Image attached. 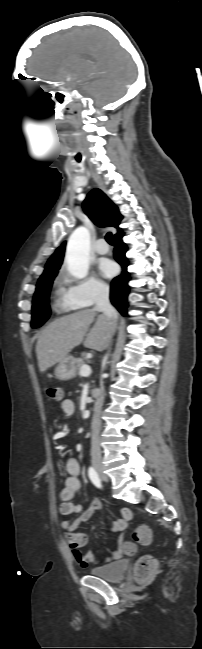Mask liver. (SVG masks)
<instances>
[{"label": "liver", "instance_id": "liver-1", "mask_svg": "<svg viewBox=\"0 0 202 649\" xmlns=\"http://www.w3.org/2000/svg\"><path fill=\"white\" fill-rule=\"evenodd\" d=\"M96 315L95 309L78 311L54 320L40 332L36 345L40 372H45L62 361L73 348L82 343ZM113 329V319L104 314L98 315L95 325L87 334L84 346L97 351L107 349Z\"/></svg>", "mask_w": 202, "mask_h": 649}]
</instances>
